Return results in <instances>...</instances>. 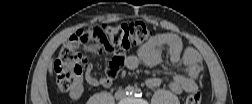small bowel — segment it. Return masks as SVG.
Masks as SVG:
<instances>
[{
    "mask_svg": "<svg viewBox=\"0 0 252 104\" xmlns=\"http://www.w3.org/2000/svg\"><path fill=\"white\" fill-rule=\"evenodd\" d=\"M163 48L168 49L169 65L173 68L183 66L186 73L185 75L174 74L170 76V89L177 94L195 90L198 86V78L201 72V56L193 48L183 49L182 41L176 34L161 33L155 35L143 44L135 54L124 56L122 65L126 66L128 69H135L141 63L150 67L157 66L161 62V52ZM99 50L100 47L98 45L90 47V52L95 53ZM85 77L89 85L104 88L110 87L114 79L107 74L97 76L92 64H88ZM161 82L162 79L156 76L145 80V84L149 88L158 87ZM80 96L81 91L70 93V97L73 100L79 99Z\"/></svg>",
    "mask_w": 252,
    "mask_h": 104,
    "instance_id": "1",
    "label": "small bowel"
}]
</instances>
